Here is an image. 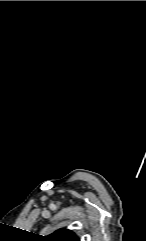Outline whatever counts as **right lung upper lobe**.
Masks as SVG:
<instances>
[{"mask_svg":"<svg viewBox=\"0 0 146 241\" xmlns=\"http://www.w3.org/2000/svg\"><path fill=\"white\" fill-rule=\"evenodd\" d=\"M44 241H80V239L68 229H59L49 236L43 237Z\"/></svg>","mask_w":146,"mask_h":241,"instance_id":"cb5924a9","label":"right lung upper lobe"}]
</instances>
